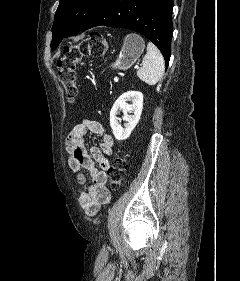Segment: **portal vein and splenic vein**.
<instances>
[{"label": "portal vein and splenic vein", "mask_w": 240, "mask_h": 281, "mask_svg": "<svg viewBox=\"0 0 240 281\" xmlns=\"http://www.w3.org/2000/svg\"><path fill=\"white\" fill-rule=\"evenodd\" d=\"M135 69H139V66H135ZM118 81H119V78H118V77H115V78H114V82L117 83Z\"/></svg>", "instance_id": "18ae733b"}]
</instances>
